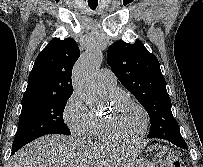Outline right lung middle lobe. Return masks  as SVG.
<instances>
[{
	"mask_svg": "<svg viewBox=\"0 0 203 167\" xmlns=\"http://www.w3.org/2000/svg\"><path fill=\"white\" fill-rule=\"evenodd\" d=\"M70 96H53L22 101L12 154L34 139L47 134L70 135L63 111Z\"/></svg>",
	"mask_w": 203,
	"mask_h": 167,
	"instance_id": "obj_1",
	"label": "right lung middle lobe"
}]
</instances>
